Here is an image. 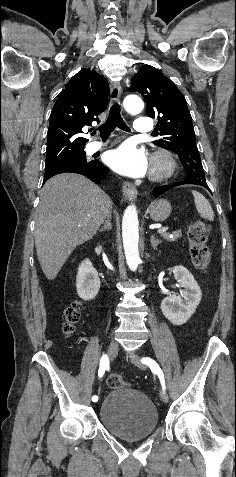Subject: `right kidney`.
Here are the masks:
<instances>
[{
  "label": "right kidney",
  "instance_id": "obj_1",
  "mask_svg": "<svg viewBox=\"0 0 236 477\" xmlns=\"http://www.w3.org/2000/svg\"><path fill=\"white\" fill-rule=\"evenodd\" d=\"M100 278L98 272L92 266L89 259L84 260L78 268L76 277V288L80 298L92 300L96 297L100 289Z\"/></svg>",
  "mask_w": 236,
  "mask_h": 477
}]
</instances>
